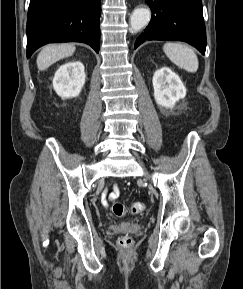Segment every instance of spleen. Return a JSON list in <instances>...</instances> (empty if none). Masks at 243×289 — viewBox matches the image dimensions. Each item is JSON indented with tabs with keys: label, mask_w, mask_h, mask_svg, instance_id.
<instances>
[{
	"label": "spleen",
	"mask_w": 243,
	"mask_h": 289,
	"mask_svg": "<svg viewBox=\"0 0 243 289\" xmlns=\"http://www.w3.org/2000/svg\"><path fill=\"white\" fill-rule=\"evenodd\" d=\"M163 51L178 67L191 73L197 71L199 66L197 55L187 45L169 42L164 44Z\"/></svg>",
	"instance_id": "3e777b00"
}]
</instances>
